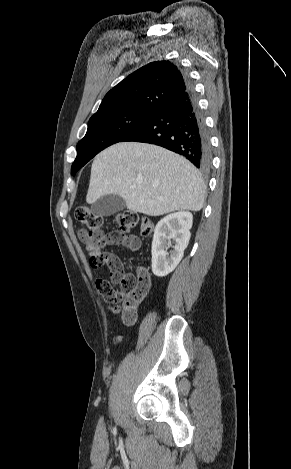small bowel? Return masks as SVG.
I'll return each mask as SVG.
<instances>
[{"label": "small bowel", "instance_id": "c3829d8e", "mask_svg": "<svg viewBox=\"0 0 291 469\" xmlns=\"http://www.w3.org/2000/svg\"><path fill=\"white\" fill-rule=\"evenodd\" d=\"M79 238L85 244V250L91 256V258L92 257L102 256L106 260L107 263H120V261H119V259L116 255H114L112 253H109V252H103L102 247L95 246L94 244H92L88 240V238L86 236V232L84 230H81L79 232ZM109 244L116 245V244H120V243H109ZM125 245L130 250L135 251L139 248L140 241L136 236H130V242L128 244H125ZM104 281L105 280L97 279L96 280V286H97L98 283H101V282H104ZM138 285L140 287H144L145 290H146V294L148 293V291L150 289V279H149V276L147 275L146 272H145V277H140L139 278ZM107 302H109V301H107ZM109 303H112V302H109ZM112 304H114V303H112Z\"/></svg>", "mask_w": 291, "mask_h": 469}]
</instances>
